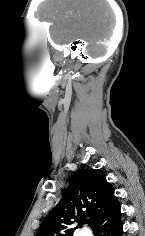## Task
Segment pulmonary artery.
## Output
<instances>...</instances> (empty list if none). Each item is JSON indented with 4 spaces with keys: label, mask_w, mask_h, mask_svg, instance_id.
I'll use <instances>...</instances> for the list:
<instances>
[{
    "label": "pulmonary artery",
    "mask_w": 145,
    "mask_h": 236,
    "mask_svg": "<svg viewBox=\"0 0 145 236\" xmlns=\"http://www.w3.org/2000/svg\"><path fill=\"white\" fill-rule=\"evenodd\" d=\"M81 236H90L85 230L82 231Z\"/></svg>",
    "instance_id": "1"
}]
</instances>
